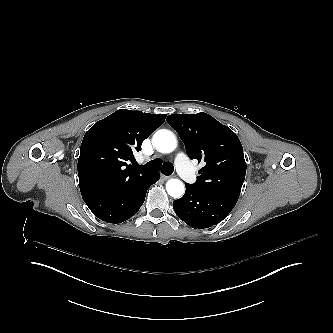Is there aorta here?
<instances>
[{
  "label": "aorta",
  "mask_w": 333,
  "mask_h": 333,
  "mask_svg": "<svg viewBox=\"0 0 333 333\" xmlns=\"http://www.w3.org/2000/svg\"><path fill=\"white\" fill-rule=\"evenodd\" d=\"M153 144L161 153H170L177 146L175 136L168 130H158L153 136ZM168 194L174 198H178L184 194V184L178 179H170L166 183Z\"/></svg>",
  "instance_id": "obj_1"
}]
</instances>
